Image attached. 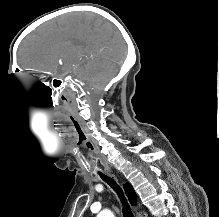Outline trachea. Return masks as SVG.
<instances>
[{"mask_svg": "<svg viewBox=\"0 0 219 217\" xmlns=\"http://www.w3.org/2000/svg\"><path fill=\"white\" fill-rule=\"evenodd\" d=\"M99 174H100V177L118 194V196L122 202V205H123V209H122L123 217H134V215L130 209V206L128 205V203L124 197V194H123L121 187L118 186L117 183L112 178L104 175L103 173H99Z\"/></svg>", "mask_w": 219, "mask_h": 217, "instance_id": "trachea-1", "label": "trachea"}]
</instances>
